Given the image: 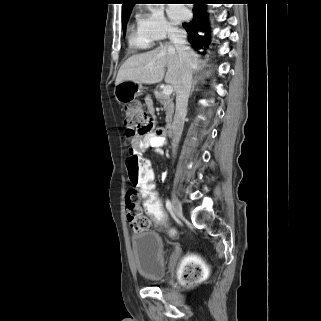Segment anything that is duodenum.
I'll use <instances>...</instances> for the list:
<instances>
[{
    "instance_id": "410a0bca",
    "label": "duodenum",
    "mask_w": 321,
    "mask_h": 321,
    "mask_svg": "<svg viewBox=\"0 0 321 321\" xmlns=\"http://www.w3.org/2000/svg\"><path fill=\"white\" fill-rule=\"evenodd\" d=\"M164 132L166 135L171 136L173 134V125L168 123L164 128Z\"/></svg>"
}]
</instances>
